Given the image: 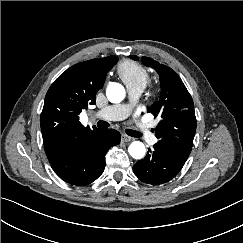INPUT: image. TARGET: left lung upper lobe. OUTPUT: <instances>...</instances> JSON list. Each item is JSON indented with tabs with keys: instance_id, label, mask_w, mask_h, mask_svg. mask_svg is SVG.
Instances as JSON below:
<instances>
[{
	"instance_id": "5c2ea615",
	"label": "left lung upper lobe",
	"mask_w": 243,
	"mask_h": 243,
	"mask_svg": "<svg viewBox=\"0 0 243 243\" xmlns=\"http://www.w3.org/2000/svg\"><path fill=\"white\" fill-rule=\"evenodd\" d=\"M138 60L137 56H130ZM144 64L154 68L161 83L160 99L151 112L161 120L155 129L156 143L188 158L196 131L193 100L180 77L171 68L145 57Z\"/></svg>"
}]
</instances>
